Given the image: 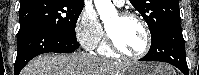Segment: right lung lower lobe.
I'll return each instance as SVG.
<instances>
[{
    "mask_svg": "<svg viewBox=\"0 0 199 75\" xmlns=\"http://www.w3.org/2000/svg\"><path fill=\"white\" fill-rule=\"evenodd\" d=\"M79 48V43L56 34L42 27H27L17 34V57L14 66L15 75L37 55L48 52H73Z\"/></svg>",
    "mask_w": 199,
    "mask_h": 75,
    "instance_id": "98d812e1",
    "label": "right lung lower lobe"
}]
</instances>
